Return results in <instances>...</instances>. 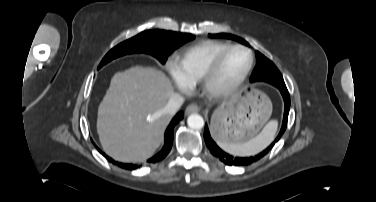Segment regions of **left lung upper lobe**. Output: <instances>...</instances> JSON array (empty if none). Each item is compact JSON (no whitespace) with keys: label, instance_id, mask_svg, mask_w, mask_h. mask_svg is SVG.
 Here are the masks:
<instances>
[{"label":"left lung upper lobe","instance_id":"left-lung-upper-lobe-1","mask_svg":"<svg viewBox=\"0 0 376 202\" xmlns=\"http://www.w3.org/2000/svg\"><path fill=\"white\" fill-rule=\"evenodd\" d=\"M209 37L228 38V39L236 40L245 45L248 44L244 39L231 35V34H225V33L215 34V35L209 34ZM256 58H257V64L250 77L251 82L265 81L274 86H281V85L285 86V83H284V80L280 71L269 59H267L264 55H262L258 51H256Z\"/></svg>","mask_w":376,"mask_h":202}]
</instances>
